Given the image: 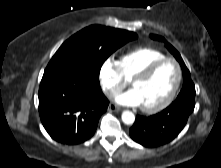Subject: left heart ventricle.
<instances>
[{"label":"left heart ventricle","mask_w":221,"mask_h":168,"mask_svg":"<svg viewBox=\"0 0 221 168\" xmlns=\"http://www.w3.org/2000/svg\"><path fill=\"white\" fill-rule=\"evenodd\" d=\"M177 79V68L173 62L160 65L146 80L137 82V91L142 106H154L167 98Z\"/></svg>","instance_id":"left-heart-ventricle-1"}]
</instances>
